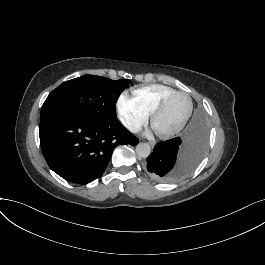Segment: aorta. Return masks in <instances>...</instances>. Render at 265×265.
<instances>
[{
    "instance_id": "762f6f07",
    "label": "aorta",
    "mask_w": 265,
    "mask_h": 265,
    "mask_svg": "<svg viewBox=\"0 0 265 265\" xmlns=\"http://www.w3.org/2000/svg\"><path fill=\"white\" fill-rule=\"evenodd\" d=\"M136 153H137V156L140 158L148 157L151 153L150 145L147 143H139L136 146Z\"/></svg>"
}]
</instances>
